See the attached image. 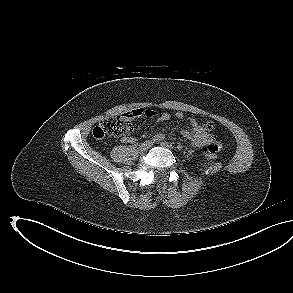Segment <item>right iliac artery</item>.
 Returning a JSON list of instances; mask_svg holds the SVG:
<instances>
[{
  "mask_svg": "<svg viewBox=\"0 0 293 293\" xmlns=\"http://www.w3.org/2000/svg\"><path fill=\"white\" fill-rule=\"evenodd\" d=\"M165 139V135L164 134H157L155 135L152 140L154 142H158V141H161V140H164Z\"/></svg>",
  "mask_w": 293,
  "mask_h": 293,
  "instance_id": "right-iliac-artery-1",
  "label": "right iliac artery"
}]
</instances>
